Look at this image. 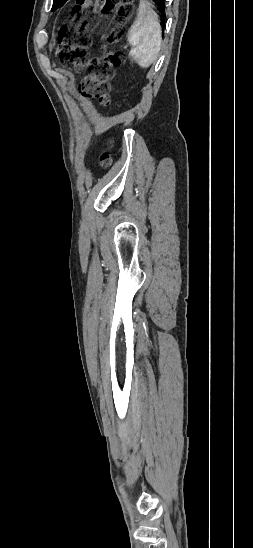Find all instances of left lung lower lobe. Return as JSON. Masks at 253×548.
<instances>
[{
	"mask_svg": "<svg viewBox=\"0 0 253 548\" xmlns=\"http://www.w3.org/2000/svg\"><path fill=\"white\" fill-rule=\"evenodd\" d=\"M67 0H62L61 2H59V4H57L53 10H56L57 8L63 6V4L66 2ZM156 4V6L158 7V9L160 10L161 14H162V26H164V19H165V3H164V0H153Z\"/></svg>",
	"mask_w": 253,
	"mask_h": 548,
	"instance_id": "obj_1",
	"label": "left lung lower lobe"
}]
</instances>
